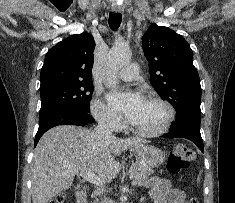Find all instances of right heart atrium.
<instances>
[{"label": "right heart atrium", "instance_id": "d8ad5b80", "mask_svg": "<svg viewBox=\"0 0 235 203\" xmlns=\"http://www.w3.org/2000/svg\"><path fill=\"white\" fill-rule=\"evenodd\" d=\"M91 111L94 118L104 127L116 130L121 125L120 117L111 110L99 97L91 103Z\"/></svg>", "mask_w": 235, "mask_h": 203}]
</instances>
